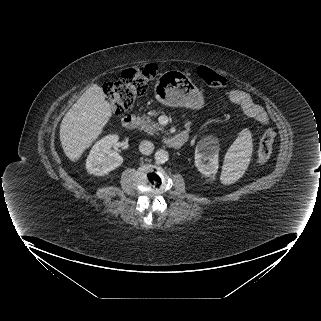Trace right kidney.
Returning a JSON list of instances; mask_svg holds the SVG:
<instances>
[{
  "instance_id": "obj_1",
  "label": "right kidney",
  "mask_w": 321,
  "mask_h": 321,
  "mask_svg": "<svg viewBox=\"0 0 321 321\" xmlns=\"http://www.w3.org/2000/svg\"><path fill=\"white\" fill-rule=\"evenodd\" d=\"M118 135L110 134L97 141L86 160V169L90 174L102 176L123 163V158L111 148L117 143Z\"/></svg>"
}]
</instances>
